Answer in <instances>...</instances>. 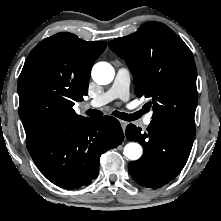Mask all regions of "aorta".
Masks as SVG:
<instances>
[{"label":"aorta","mask_w":221,"mask_h":221,"mask_svg":"<svg viewBox=\"0 0 221 221\" xmlns=\"http://www.w3.org/2000/svg\"><path fill=\"white\" fill-rule=\"evenodd\" d=\"M115 75L114 68L107 62H98L92 68V78L100 85L109 84ZM124 155L129 160H137L142 155V147L140 144L131 142L124 147Z\"/></svg>","instance_id":"obj_1"}]
</instances>
